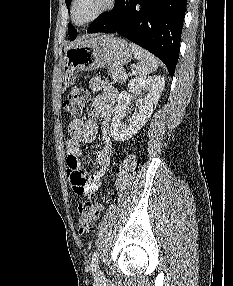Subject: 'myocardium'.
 Here are the masks:
<instances>
[{"label": "myocardium", "mask_w": 233, "mask_h": 286, "mask_svg": "<svg viewBox=\"0 0 233 286\" xmlns=\"http://www.w3.org/2000/svg\"><path fill=\"white\" fill-rule=\"evenodd\" d=\"M77 2L78 0H72V4L70 8L71 21L76 26H86L96 21L98 18H100L101 16L109 12L110 10H112L116 5L117 0H107L106 5L96 15H94L93 17H91L90 19L82 23L76 22L75 16H74L75 7H76Z\"/></svg>", "instance_id": "f54148a6"}]
</instances>
